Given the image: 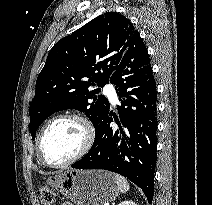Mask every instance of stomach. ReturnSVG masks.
Returning a JSON list of instances; mask_svg holds the SVG:
<instances>
[{
	"label": "stomach",
	"mask_w": 212,
	"mask_h": 205,
	"mask_svg": "<svg viewBox=\"0 0 212 205\" xmlns=\"http://www.w3.org/2000/svg\"><path fill=\"white\" fill-rule=\"evenodd\" d=\"M47 182L76 205H105L119 194L114 174L103 170H68Z\"/></svg>",
	"instance_id": "stomach-1"
}]
</instances>
